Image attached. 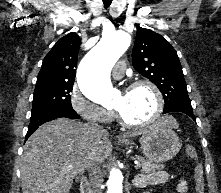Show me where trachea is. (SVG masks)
Here are the masks:
<instances>
[{
	"instance_id": "1",
	"label": "trachea",
	"mask_w": 221,
	"mask_h": 193,
	"mask_svg": "<svg viewBox=\"0 0 221 193\" xmlns=\"http://www.w3.org/2000/svg\"><path fill=\"white\" fill-rule=\"evenodd\" d=\"M112 3V0H103V4L105 8H108Z\"/></svg>"
}]
</instances>
